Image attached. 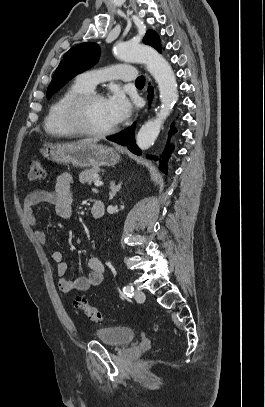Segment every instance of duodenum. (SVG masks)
Returning <instances> with one entry per match:
<instances>
[{
    "instance_id": "1",
    "label": "duodenum",
    "mask_w": 265,
    "mask_h": 407,
    "mask_svg": "<svg viewBox=\"0 0 265 407\" xmlns=\"http://www.w3.org/2000/svg\"><path fill=\"white\" fill-rule=\"evenodd\" d=\"M91 213L94 218L99 219L105 214V205L101 200H95L91 206Z\"/></svg>"
}]
</instances>
